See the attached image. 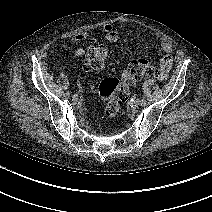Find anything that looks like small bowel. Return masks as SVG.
<instances>
[{
  "label": "small bowel",
  "mask_w": 212,
  "mask_h": 212,
  "mask_svg": "<svg viewBox=\"0 0 212 212\" xmlns=\"http://www.w3.org/2000/svg\"><path fill=\"white\" fill-rule=\"evenodd\" d=\"M119 25L114 23H106L101 25L100 31L104 34L105 38L109 42H116L119 38L118 32ZM89 32L77 33L73 36V40L76 42H81L89 36ZM158 46L163 50L166 55L161 59L159 65V79L164 80L167 78L169 70L173 63V57L171 55L172 45L167 41H160ZM83 53V49L78 48L72 52L76 57L80 56Z\"/></svg>",
  "instance_id": "small-bowel-1"
}]
</instances>
